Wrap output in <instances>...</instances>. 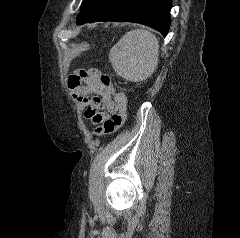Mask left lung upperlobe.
<instances>
[{
    "instance_id": "5c2ea615",
    "label": "left lung upper lobe",
    "mask_w": 240,
    "mask_h": 238,
    "mask_svg": "<svg viewBox=\"0 0 240 238\" xmlns=\"http://www.w3.org/2000/svg\"><path fill=\"white\" fill-rule=\"evenodd\" d=\"M90 2L91 0H83L78 18L83 14Z\"/></svg>"
}]
</instances>
